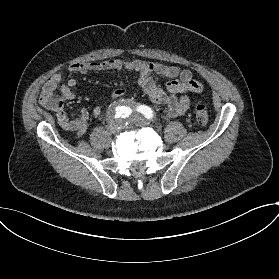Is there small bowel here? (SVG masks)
<instances>
[{"instance_id": "1", "label": "small bowel", "mask_w": 279, "mask_h": 279, "mask_svg": "<svg viewBox=\"0 0 279 279\" xmlns=\"http://www.w3.org/2000/svg\"><path fill=\"white\" fill-rule=\"evenodd\" d=\"M116 70L136 72L139 86L143 91L152 101L165 107L164 116L166 118L176 117L186 112L190 105V99L186 92L199 93L203 89L202 83L196 80L188 69L153 61L112 58L76 63L68 68L67 73L55 74L44 84L39 104L41 107L55 112L57 121L62 128L82 136L88 129L89 111L81 109L76 116L70 117L64 109L66 101H72L76 98L72 88L77 84V80L71 74ZM154 74L163 75L170 79L165 89L157 86L153 79ZM124 94L125 90L118 89L113 93V96L119 97ZM101 114V106L95 105L92 109V115L98 118Z\"/></svg>"}]
</instances>
